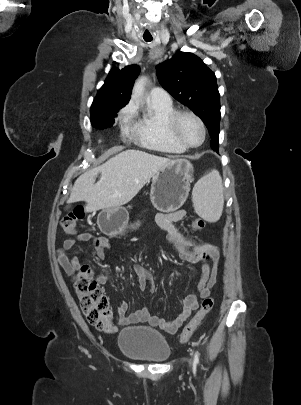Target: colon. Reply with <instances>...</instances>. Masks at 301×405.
Wrapping results in <instances>:
<instances>
[{
  "label": "colon",
  "mask_w": 301,
  "mask_h": 405,
  "mask_svg": "<svg viewBox=\"0 0 301 405\" xmlns=\"http://www.w3.org/2000/svg\"><path fill=\"white\" fill-rule=\"evenodd\" d=\"M85 217L83 207H76L73 211L66 213L60 221L62 229L66 233H75L77 224ZM194 231H200L205 227L202 219H195L191 223ZM75 289L80 298V305L87 321L102 330H111V309L107 296L93 277L92 270L83 265L75 275ZM214 299L206 297L203 299L201 306L189 323L184 327L180 342H187L206 315L212 310Z\"/></svg>",
  "instance_id": "1"
}]
</instances>
